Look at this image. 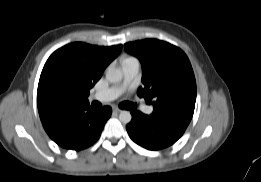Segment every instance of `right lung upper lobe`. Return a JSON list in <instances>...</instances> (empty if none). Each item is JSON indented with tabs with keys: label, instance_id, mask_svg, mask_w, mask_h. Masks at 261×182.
Wrapping results in <instances>:
<instances>
[{
	"label": "right lung upper lobe",
	"instance_id": "right-lung-upper-lobe-1",
	"mask_svg": "<svg viewBox=\"0 0 261 182\" xmlns=\"http://www.w3.org/2000/svg\"><path fill=\"white\" fill-rule=\"evenodd\" d=\"M121 49L122 45L100 47L75 42L51 54L40 76L37 106L52 140L61 139L75 118L91 109L90 89Z\"/></svg>",
	"mask_w": 261,
	"mask_h": 182
}]
</instances>
